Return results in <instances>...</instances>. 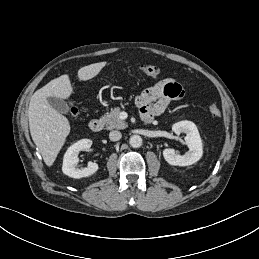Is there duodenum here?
I'll use <instances>...</instances> for the list:
<instances>
[{
	"label": "duodenum",
	"instance_id": "obj_1",
	"mask_svg": "<svg viewBox=\"0 0 259 259\" xmlns=\"http://www.w3.org/2000/svg\"><path fill=\"white\" fill-rule=\"evenodd\" d=\"M145 122H150L151 119H144ZM103 128V121L100 118H95L90 122V129L93 132H99Z\"/></svg>",
	"mask_w": 259,
	"mask_h": 259
}]
</instances>
